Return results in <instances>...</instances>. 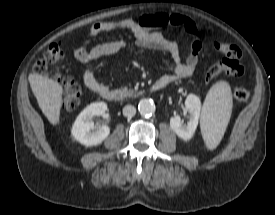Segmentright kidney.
<instances>
[{
    "label": "right kidney",
    "mask_w": 275,
    "mask_h": 215,
    "mask_svg": "<svg viewBox=\"0 0 275 215\" xmlns=\"http://www.w3.org/2000/svg\"><path fill=\"white\" fill-rule=\"evenodd\" d=\"M107 110V104L96 102L87 106L76 118L72 129V136L85 146H94L102 143L109 135L110 129L107 125L101 126L96 131L92 121L94 116H100Z\"/></svg>",
    "instance_id": "obj_1"
}]
</instances>
